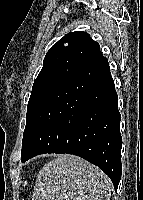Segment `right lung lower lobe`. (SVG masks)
I'll use <instances>...</instances> for the list:
<instances>
[{"label":"right lung lower lobe","instance_id":"obj_1","mask_svg":"<svg viewBox=\"0 0 143 200\" xmlns=\"http://www.w3.org/2000/svg\"><path fill=\"white\" fill-rule=\"evenodd\" d=\"M121 115L108 60L67 76L44 100L22 141L21 161L68 153L103 170L117 190L121 179Z\"/></svg>","mask_w":143,"mask_h":200}]
</instances>
